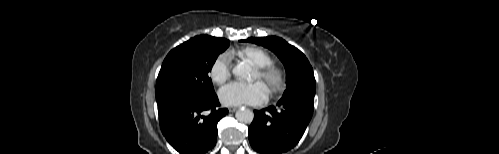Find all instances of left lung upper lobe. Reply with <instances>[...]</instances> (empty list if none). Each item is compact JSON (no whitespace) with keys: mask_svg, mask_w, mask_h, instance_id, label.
<instances>
[{"mask_svg":"<svg viewBox=\"0 0 499 154\" xmlns=\"http://www.w3.org/2000/svg\"><path fill=\"white\" fill-rule=\"evenodd\" d=\"M262 45L273 51L285 66L287 87L282 98L295 93L315 94V77L306 56L297 48L279 37H259L241 40Z\"/></svg>","mask_w":499,"mask_h":154,"instance_id":"left-lung-upper-lobe-1","label":"left lung upper lobe"}]
</instances>
